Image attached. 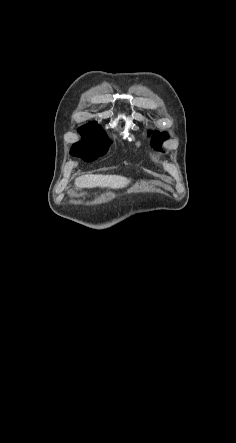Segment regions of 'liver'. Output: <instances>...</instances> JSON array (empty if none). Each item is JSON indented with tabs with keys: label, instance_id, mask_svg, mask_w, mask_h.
<instances>
[{
	"label": "liver",
	"instance_id": "liver-1",
	"mask_svg": "<svg viewBox=\"0 0 236 443\" xmlns=\"http://www.w3.org/2000/svg\"><path fill=\"white\" fill-rule=\"evenodd\" d=\"M130 180L119 175H84L75 180L77 188L109 187L112 189L124 188Z\"/></svg>",
	"mask_w": 236,
	"mask_h": 443
}]
</instances>
